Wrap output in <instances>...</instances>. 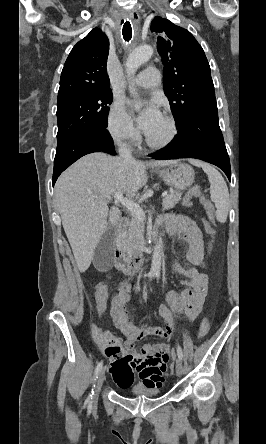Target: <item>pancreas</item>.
Wrapping results in <instances>:
<instances>
[{
	"label": "pancreas",
	"instance_id": "cf45deb5",
	"mask_svg": "<svg viewBox=\"0 0 266 444\" xmlns=\"http://www.w3.org/2000/svg\"><path fill=\"white\" fill-rule=\"evenodd\" d=\"M181 196L182 193L180 191H171L163 199V209H172L181 200ZM144 220L145 218H138L132 214L127 231V242L131 245L133 250H136L139 247L145 228Z\"/></svg>",
	"mask_w": 266,
	"mask_h": 444
}]
</instances>
